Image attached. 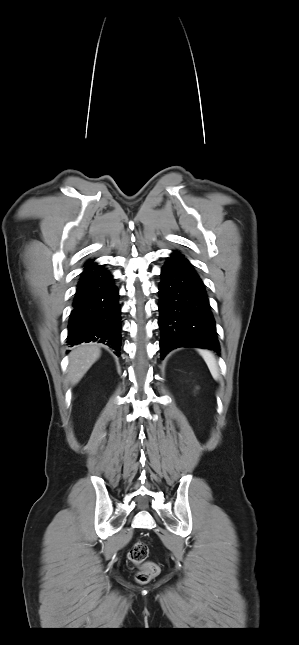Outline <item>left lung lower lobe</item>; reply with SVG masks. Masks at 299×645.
<instances>
[{
    "instance_id": "0a47b994",
    "label": "left lung lower lobe",
    "mask_w": 299,
    "mask_h": 645,
    "mask_svg": "<svg viewBox=\"0 0 299 645\" xmlns=\"http://www.w3.org/2000/svg\"><path fill=\"white\" fill-rule=\"evenodd\" d=\"M159 327L161 359L178 347L219 351L205 286L191 263L174 251L161 270Z\"/></svg>"
}]
</instances>
